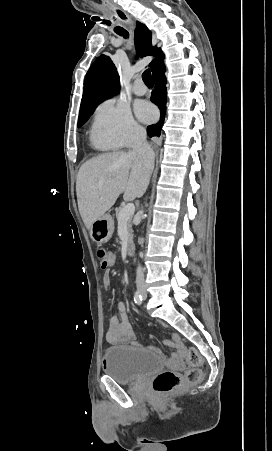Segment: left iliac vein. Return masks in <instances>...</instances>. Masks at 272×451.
<instances>
[{"instance_id":"left-iliac-vein-1","label":"left iliac vein","mask_w":272,"mask_h":451,"mask_svg":"<svg viewBox=\"0 0 272 451\" xmlns=\"http://www.w3.org/2000/svg\"><path fill=\"white\" fill-rule=\"evenodd\" d=\"M143 290H145V289L143 288ZM142 294H143V297L146 298V293L143 292Z\"/></svg>"}]
</instances>
